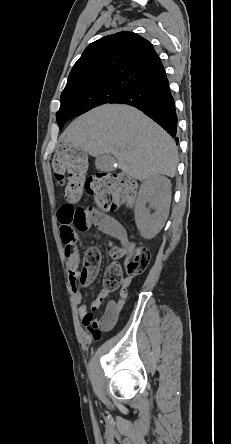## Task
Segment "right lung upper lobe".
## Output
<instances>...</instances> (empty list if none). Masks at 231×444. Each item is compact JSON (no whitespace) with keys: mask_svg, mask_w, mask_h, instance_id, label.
Wrapping results in <instances>:
<instances>
[{"mask_svg":"<svg viewBox=\"0 0 231 444\" xmlns=\"http://www.w3.org/2000/svg\"><path fill=\"white\" fill-rule=\"evenodd\" d=\"M165 72L152 44L133 32H119L91 43L73 66L65 90L105 83H136Z\"/></svg>","mask_w":231,"mask_h":444,"instance_id":"1","label":"right lung upper lobe"}]
</instances>
